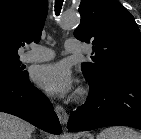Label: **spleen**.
<instances>
[{
    "mask_svg": "<svg viewBox=\"0 0 141 139\" xmlns=\"http://www.w3.org/2000/svg\"><path fill=\"white\" fill-rule=\"evenodd\" d=\"M97 139H141V134L127 127L113 126L100 132Z\"/></svg>",
    "mask_w": 141,
    "mask_h": 139,
    "instance_id": "obj_1",
    "label": "spleen"
}]
</instances>
